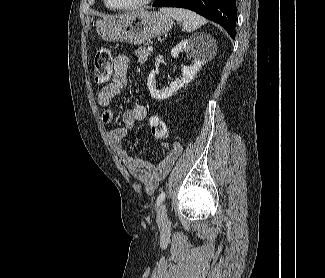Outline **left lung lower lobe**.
Segmentation results:
<instances>
[{
	"label": "left lung lower lobe",
	"instance_id": "1",
	"mask_svg": "<svg viewBox=\"0 0 325 278\" xmlns=\"http://www.w3.org/2000/svg\"><path fill=\"white\" fill-rule=\"evenodd\" d=\"M153 6L190 9L222 25L235 38L236 0H156Z\"/></svg>",
	"mask_w": 325,
	"mask_h": 278
}]
</instances>
